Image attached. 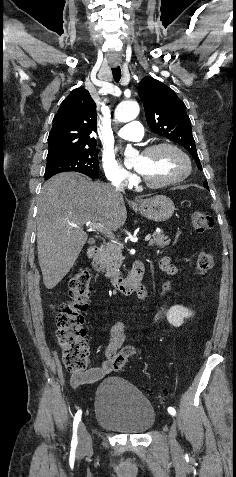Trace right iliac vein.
Listing matches in <instances>:
<instances>
[{
  "instance_id": "right-iliac-vein-1",
  "label": "right iliac vein",
  "mask_w": 236,
  "mask_h": 477,
  "mask_svg": "<svg viewBox=\"0 0 236 477\" xmlns=\"http://www.w3.org/2000/svg\"><path fill=\"white\" fill-rule=\"evenodd\" d=\"M91 436L88 433L86 426L83 422H81L78 426V453H86L91 448Z\"/></svg>"
}]
</instances>
